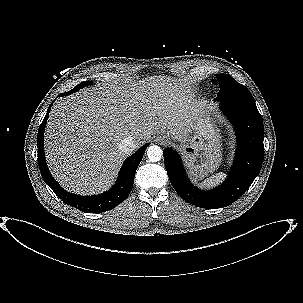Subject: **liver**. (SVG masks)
Wrapping results in <instances>:
<instances>
[{"label": "liver", "mask_w": 303, "mask_h": 303, "mask_svg": "<svg viewBox=\"0 0 303 303\" xmlns=\"http://www.w3.org/2000/svg\"><path fill=\"white\" fill-rule=\"evenodd\" d=\"M186 79L150 76L138 82H102L57 101L45 132V153L55 179L66 190L96 194L113 183L126 154L153 134L185 140L201 113Z\"/></svg>", "instance_id": "obj_1"}]
</instances>
